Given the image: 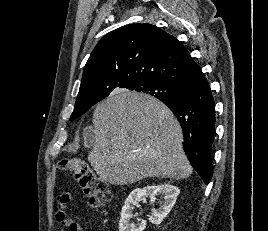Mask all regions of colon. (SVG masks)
<instances>
[{
    "label": "colon",
    "instance_id": "5ec220e1",
    "mask_svg": "<svg viewBox=\"0 0 268 231\" xmlns=\"http://www.w3.org/2000/svg\"><path fill=\"white\" fill-rule=\"evenodd\" d=\"M60 167L72 173L80 182L92 207L111 199L107 184L90 169L84 159L76 157L64 158L60 162Z\"/></svg>",
    "mask_w": 268,
    "mask_h": 231
}]
</instances>
